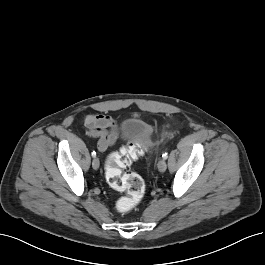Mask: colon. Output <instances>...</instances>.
<instances>
[{
	"mask_svg": "<svg viewBox=\"0 0 265 265\" xmlns=\"http://www.w3.org/2000/svg\"><path fill=\"white\" fill-rule=\"evenodd\" d=\"M142 152L140 144L130 143L120 151L112 153L106 162L105 172L109 185L115 190L127 193L118 201L120 212H126L135 207L144 195L145 185L141 177L133 172H123V169L127 168Z\"/></svg>",
	"mask_w": 265,
	"mask_h": 265,
	"instance_id": "5ec220e1",
	"label": "colon"
}]
</instances>
